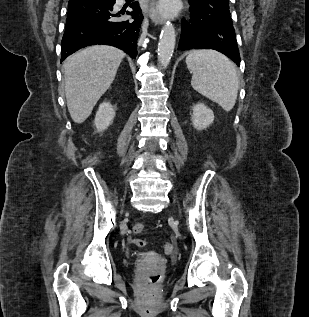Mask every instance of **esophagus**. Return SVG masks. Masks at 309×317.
Here are the masks:
<instances>
[{
	"mask_svg": "<svg viewBox=\"0 0 309 317\" xmlns=\"http://www.w3.org/2000/svg\"><path fill=\"white\" fill-rule=\"evenodd\" d=\"M149 17L156 25H162L165 22V18L158 11L155 1L149 7Z\"/></svg>",
	"mask_w": 309,
	"mask_h": 317,
	"instance_id": "1",
	"label": "esophagus"
}]
</instances>
